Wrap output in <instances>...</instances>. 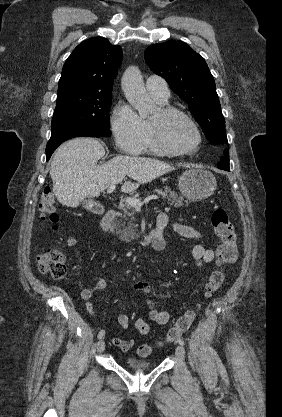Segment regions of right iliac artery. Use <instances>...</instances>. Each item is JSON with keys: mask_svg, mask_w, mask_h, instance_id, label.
Segmentation results:
<instances>
[{"mask_svg": "<svg viewBox=\"0 0 282 417\" xmlns=\"http://www.w3.org/2000/svg\"><path fill=\"white\" fill-rule=\"evenodd\" d=\"M104 336H105V331H104V330H101V331L98 333V339H102V338H104Z\"/></svg>", "mask_w": 282, "mask_h": 417, "instance_id": "obj_1", "label": "right iliac artery"}]
</instances>
